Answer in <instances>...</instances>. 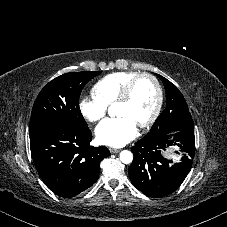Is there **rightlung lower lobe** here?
Here are the masks:
<instances>
[{"label":"right lung lower lobe","instance_id":"obj_1","mask_svg":"<svg viewBox=\"0 0 227 227\" xmlns=\"http://www.w3.org/2000/svg\"><path fill=\"white\" fill-rule=\"evenodd\" d=\"M91 131L53 125L30 135L34 165L46 186L71 198L91 187L99 177L100 162L110 155L104 147L90 146Z\"/></svg>","mask_w":227,"mask_h":227}]
</instances>
